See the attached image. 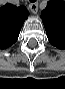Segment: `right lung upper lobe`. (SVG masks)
I'll return each mask as SVG.
<instances>
[{"mask_svg": "<svg viewBox=\"0 0 65 89\" xmlns=\"http://www.w3.org/2000/svg\"><path fill=\"white\" fill-rule=\"evenodd\" d=\"M28 16V10L22 5L6 4L0 8V49L8 48L17 41Z\"/></svg>", "mask_w": 65, "mask_h": 89, "instance_id": "right-lung-upper-lobe-1", "label": "right lung upper lobe"}]
</instances>
